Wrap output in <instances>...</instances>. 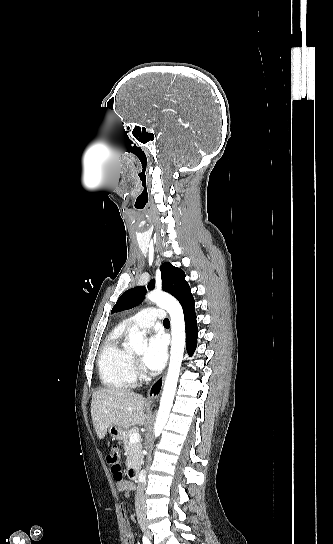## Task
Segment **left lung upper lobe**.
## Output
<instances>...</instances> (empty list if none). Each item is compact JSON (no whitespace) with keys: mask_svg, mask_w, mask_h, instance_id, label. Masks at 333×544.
Here are the masks:
<instances>
[{"mask_svg":"<svg viewBox=\"0 0 333 544\" xmlns=\"http://www.w3.org/2000/svg\"><path fill=\"white\" fill-rule=\"evenodd\" d=\"M161 279L163 290L173 295L182 307L190 301H194L183 270L172 266L169 262H165L161 265ZM153 287L154 280H151L148 283V289ZM145 294L146 288L143 286L127 290L119 297L111 313L131 309L139 305L143 301Z\"/></svg>","mask_w":333,"mask_h":544,"instance_id":"left-lung-upper-lobe-1","label":"left lung upper lobe"}]
</instances>
